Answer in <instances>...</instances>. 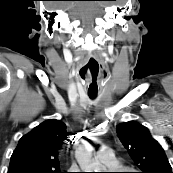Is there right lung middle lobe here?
Listing matches in <instances>:
<instances>
[{
	"label": "right lung middle lobe",
	"instance_id": "obj_1",
	"mask_svg": "<svg viewBox=\"0 0 173 173\" xmlns=\"http://www.w3.org/2000/svg\"><path fill=\"white\" fill-rule=\"evenodd\" d=\"M19 173H36V171L25 170V171H19ZM41 173H60V172H58V171H42Z\"/></svg>",
	"mask_w": 173,
	"mask_h": 173
}]
</instances>
